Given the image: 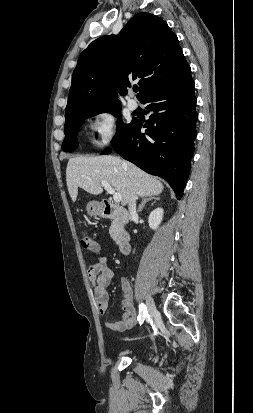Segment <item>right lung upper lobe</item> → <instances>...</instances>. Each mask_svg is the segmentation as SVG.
<instances>
[{
  "label": "right lung upper lobe",
  "mask_w": 253,
  "mask_h": 413,
  "mask_svg": "<svg viewBox=\"0 0 253 413\" xmlns=\"http://www.w3.org/2000/svg\"><path fill=\"white\" fill-rule=\"evenodd\" d=\"M189 68L167 23L153 14L139 13L118 36L98 38L80 54L65 121L82 112L121 106L117 91L125 95L131 80L139 79L141 101L177 81Z\"/></svg>",
  "instance_id": "obj_1"
}]
</instances>
